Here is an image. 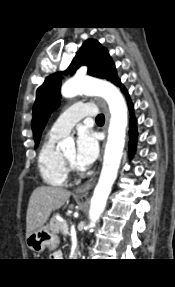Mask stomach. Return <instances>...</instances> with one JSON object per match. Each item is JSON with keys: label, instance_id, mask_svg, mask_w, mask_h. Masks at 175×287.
<instances>
[{"label": "stomach", "instance_id": "obj_1", "mask_svg": "<svg viewBox=\"0 0 175 287\" xmlns=\"http://www.w3.org/2000/svg\"><path fill=\"white\" fill-rule=\"evenodd\" d=\"M58 244V236L48 226H42L26 236L27 247L35 253L42 252L45 248L54 250Z\"/></svg>", "mask_w": 175, "mask_h": 287}]
</instances>
